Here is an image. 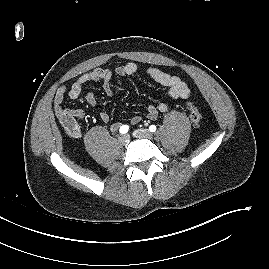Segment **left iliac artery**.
Returning a JSON list of instances; mask_svg holds the SVG:
<instances>
[{
  "label": "left iliac artery",
  "mask_w": 269,
  "mask_h": 269,
  "mask_svg": "<svg viewBox=\"0 0 269 269\" xmlns=\"http://www.w3.org/2000/svg\"><path fill=\"white\" fill-rule=\"evenodd\" d=\"M149 130L151 132H155L156 131V126L155 125H150Z\"/></svg>",
  "instance_id": "left-iliac-artery-1"
}]
</instances>
